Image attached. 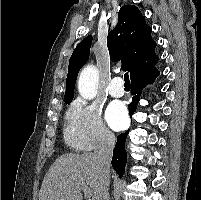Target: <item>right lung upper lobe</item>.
Returning a JSON list of instances; mask_svg holds the SVG:
<instances>
[{
	"label": "right lung upper lobe",
	"mask_w": 201,
	"mask_h": 200,
	"mask_svg": "<svg viewBox=\"0 0 201 200\" xmlns=\"http://www.w3.org/2000/svg\"><path fill=\"white\" fill-rule=\"evenodd\" d=\"M151 32L137 7L125 5L120 8L118 24L109 32L107 46L113 60H122V68L130 72L131 78L159 60L154 52L156 43ZM91 42L92 36L89 35L76 46L70 57L64 100L73 99L76 78L89 58Z\"/></svg>",
	"instance_id": "cb5924a9"
}]
</instances>
